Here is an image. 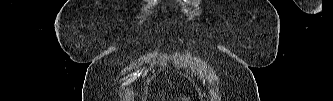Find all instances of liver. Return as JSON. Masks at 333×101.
Here are the masks:
<instances>
[{
    "label": "liver",
    "instance_id": "liver-1",
    "mask_svg": "<svg viewBox=\"0 0 333 101\" xmlns=\"http://www.w3.org/2000/svg\"><path fill=\"white\" fill-rule=\"evenodd\" d=\"M182 101H187L185 98ZM189 101V100H188Z\"/></svg>",
    "mask_w": 333,
    "mask_h": 101
}]
</instances>
